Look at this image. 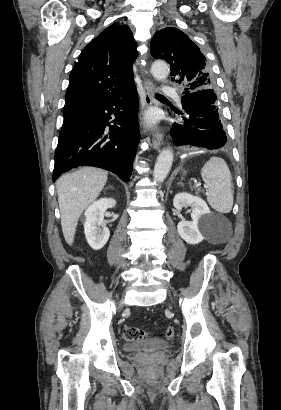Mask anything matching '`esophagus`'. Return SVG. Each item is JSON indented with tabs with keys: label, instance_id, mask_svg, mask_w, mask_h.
<instances>
[{
	"label": "esophagus",
	"instance_id": "1",
	"mask_svg": "<svg viewBox=\"0 0 281 410\" xmlns=\"http://www.w3.org/2000/svg\"><path fill=\"white\" fill-rule=\"evenodd\" d=\"M144 102L146 106L154 104V84L150 79H145L144 81ZM163 137V133L157 129L152 138L154 149H160Z\"/></svg>",
	"mask_w": 281,
	"mask_h": 410
}]
</instances>
